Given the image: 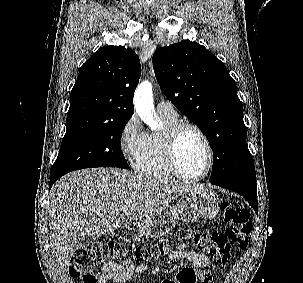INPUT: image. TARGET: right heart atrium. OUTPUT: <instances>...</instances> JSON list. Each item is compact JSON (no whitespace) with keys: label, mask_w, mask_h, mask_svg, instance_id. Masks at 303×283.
I'll use <instances>...</instances> for the list:
<instances>
[{"label":"right heart atrium","mask_w":303,"mask_h":283,"mask_svg":"<svg viewBox=\"0 0 303 283\" xmlns=\"http://www.w3.org/2000/svg\"><path fill=\"white\" fill-rule=\"evenodd\" d=\"M147 134L138 117L132 115L123 125L119 135V145L123 156L129 162L136 161L144 148Z\"/></svg>","instance_id":"right-heart-atrium-1"}]
</instances>
